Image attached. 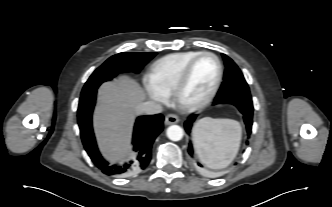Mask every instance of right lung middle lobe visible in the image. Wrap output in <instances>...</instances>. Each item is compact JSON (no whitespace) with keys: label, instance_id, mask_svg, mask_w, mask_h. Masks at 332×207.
I'll use <instances>...</instances> for the list:
<instances>
[{"label":"right lung middle lobe","instance_id":"obj_1","mask_svg":"<svg viewBox=\"0 0 332 207\" xmlns=\"http://www.w3.org/2000/svg\"><path fill=\"white\" fill-rule=\"evenodd\" d=\"M155 55L156 53L123 52L110 57L89 77L81 96L96 91L103 82L111 80L119 73H138Z\"/></svg>","mask_w":332,"mask_h":207}]
</instances>
